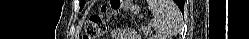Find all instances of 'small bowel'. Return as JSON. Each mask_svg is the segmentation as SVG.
<instances>
[{
	"instance_id": "obj_1",
	"label": "small bowel",
	"mask_w": 249,
	"mask_h": 39,
	"mask_svg": "<svg viewBox=\"0 0 249 39\" xmlns=\"http://www.w3.org/2000/svg\"><path fill=\"white\" fill-rule=\"evenodd\" d=\"M126 34H127L129 37H131V38H135V37H136V33L133 32V31H128Z\"/></svg>"
}]
</instances>
